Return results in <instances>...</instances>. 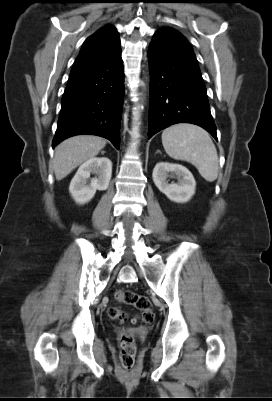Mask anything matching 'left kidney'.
Listing matches in <instances>:
<instances>
[{"label":"left kidney","mask_w":272,"mask_h":401,"mask_svg":"<svg viewBox=\"0 0 272 401\" xmlns=\"http://www.w3.org/2000/svg\"><path fill=\"white\" fill-rule=\"evenodd\" d=\"M173 175L177 176L178 183L168 184L167 178ZM152 178L156 187L173 202H188L195 194V179L192 173L182 165L168 162L157 163L153 169Z\"/></svg>","instance_id":"5707ae66"}]
</instances>
